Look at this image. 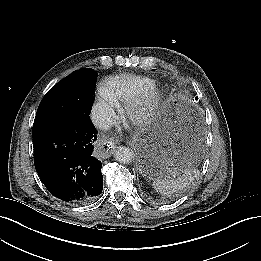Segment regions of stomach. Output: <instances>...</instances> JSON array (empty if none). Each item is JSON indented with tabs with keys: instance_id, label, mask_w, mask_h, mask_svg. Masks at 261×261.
Returning <instances> with one entry per match:
<instances>
[{
	"instance_id": "stomach-1",
	"label": "stomach",
	"mask_w": 261,
	"mask_h": 261,
	"mask_svg": "<svg viewBox=\"0 0 261 261\" xmlns=\"http://www.w3.org/2000/svg\"><path fill=\"white\" fill-rule=\"evenodd\" d=\"M192 114L186 100L170 98L134 135L138 165L145 176L159 177L171 167L189 168L197 160L199 141L185 129Z\"/></svg>"
}]
</instances>
